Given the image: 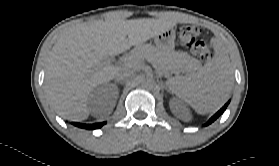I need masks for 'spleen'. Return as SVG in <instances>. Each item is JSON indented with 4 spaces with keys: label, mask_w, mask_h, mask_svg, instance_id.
Segmentation results:
<instances>
[{
    "label": "spleen",
    "mask_w": 279,
    "mask_h": 166,
    "mask_svg": "<svg viewBox=\"0 0 279 166\" xmlns=\"http://www.w3.org/2000/svg\"><path fill=\"white\" fill-rule=\"evenodd\" d=\"M215 55L197 73L177 76L167 81L169 91L205 114L221 107L229 97L233 70L229 56L219 41L213 43Z\"/></svg>",
    "instance_id": "spleen-1"
}]
</instances>
